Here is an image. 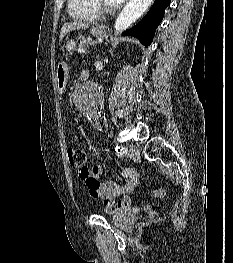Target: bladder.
<instances>
[{
	"instance_id": "bladder-1",
	"label": "bladder",
	"mask_w": 233,
	"mask_h": 263,
	"mask_svg": "<svg viewBox=\"0 0 233 263\" xmlns=\"http://www.w3.org/2000/svg\"><path fill=\"white\" fill-rule=\"evenodd\" d=\"M137 219V214L129 208L117 210L112 215V223L124 230H129L133 227Z\"/></svg>"
}]
</instances>
